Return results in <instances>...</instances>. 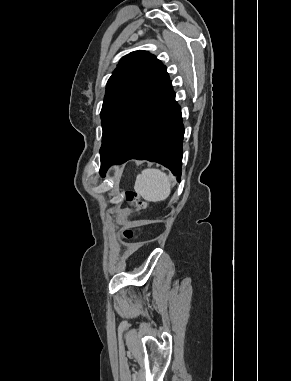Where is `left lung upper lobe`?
<instances>
[{
	"instance_id": "obj_1",
	"label": "left lung upper lobe",
	"mask_w": 291,
	"mask_h": 381,
	"mask_svg": "<svg viewBox=\"0 0 291 381\" xmlns=\"http://www.w3.org/2000/svg\"><path fill=\"white\" fill-rule=\"evenodd\" d=\"M170 82L166 67L146 51L132 52L120 60L106 85L101 110V162L126 134L145 105Z\"/></svg>"
}]
</instances>
